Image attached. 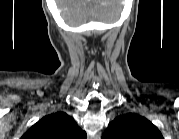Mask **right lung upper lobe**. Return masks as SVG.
<instances>
[{
  "instance_id": "obj_1",
  "label": "right lung upper lobe",
  "mask_w": 179,
  "mask_h": 139,
  "mask_svg": "<svg viewBox=\"0 0 179 139\" xmlns=\"http://www.w3.org/2000/svg\"><path fill=\"white\" fill-rule=\"evenodd\" d=\"M82 131L74 119L64 112H56L43 117L24 135L23 139H84Z\"/></svg>"
}]
</instances>
